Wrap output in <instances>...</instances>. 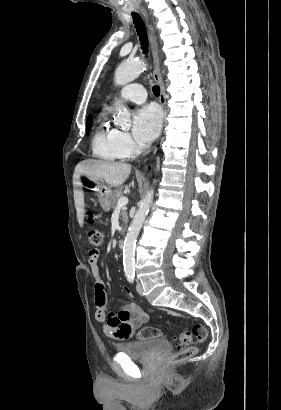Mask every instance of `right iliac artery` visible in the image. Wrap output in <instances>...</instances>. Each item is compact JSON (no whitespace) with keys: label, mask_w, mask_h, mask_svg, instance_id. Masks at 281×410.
Returning <instances> with one entry per match:
<instances>
[{"label":"right iliac artery","mask_w":281,"mask_h":410,"mask_svg":"<svg viewBox=\"0 0 281 410\" xmlns=\"http://www.w3.org/2000/svg\"><path fill=\"white\" fill-rule=\"evenodd\" d=\"M126 276H127V279H128V281H129L130 283H133V282H134V277H135L134 274H127Z\"/></svg>","instance_id":"1"}]
</instances>
